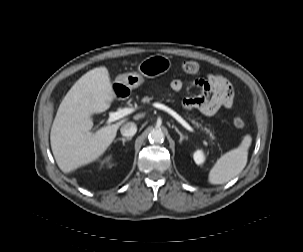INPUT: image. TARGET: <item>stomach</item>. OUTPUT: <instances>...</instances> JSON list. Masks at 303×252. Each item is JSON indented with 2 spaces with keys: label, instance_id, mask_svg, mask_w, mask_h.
<instances>
[{
  "label": "stomach",
  "instance_id": "obj_1",
  "mask_svg": "<svg viewBox=\"0 0 303 252\" xmlns=\"http://www.w3.org/2000/svg\"><path fill=\"white\" fill-rule=\"evenodd\" d=\"M171 61L164 55L147 57L138 65V72H130L117 76L113 87L127 88L128 90L139 87L144 82V77L155 78L171 68Z\"/></svg>",
  "mask_w": 303,
  "mask_h": 252
}]
</instances>
